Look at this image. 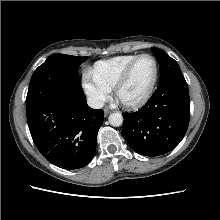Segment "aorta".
Returning <instances> with one entry per match:
<instances>
[{
    "label": "aorta",
    "mask_w": 220,
    "mask_h": 220,
    "mask_svg": "<svg viewBox=\"0 0 220 220\" xmlns=\"http://www.w3.org/2000/svg\"><path fill=\"white\" fill-rule=\"evenodd\" d=\"M109 123L114 126V127H118L121 126L123 123V116L121 113H112L109 116Z\"/></svg>",
    "instance_id": "obj_1"
}]
</instances>
